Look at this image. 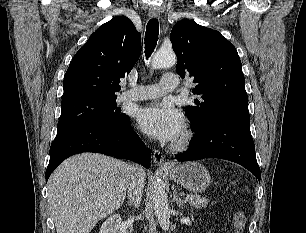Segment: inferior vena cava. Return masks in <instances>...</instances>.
Wrapping results in <instances>:
<instances>
[{
	"instance_id": "1",
	"label": "inferior vena cava",
	"mask_w": 306,
	"mask_h": 233,
	"mask_svg": "<svg viewBox=\"0 0 306 233\" xmlns=\"http://www.w3.org/2000/svg\"><path fill=\"white\" fill-rule=\"evenodd\" d=\"M145 184V172L141 166L131 165L130 176L127 184V194L129 202L134 206H139Z\"/></svg>"
}]
</instances>
